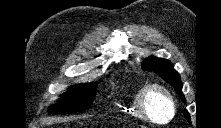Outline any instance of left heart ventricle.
<instances>
[{
    "instance_id": "b2bd125f",
    "label": "left heart ventricle",
    "mask_w": 221,
    "mask_h": 128,
    "mask_svg": "<svg viewBox=\"0 0 221 128\" xmlns=\"http://www.w3.org/2000/svg\"><path fill=\"white\" fill-rule=\"evenodd\" d=\"M151 111L157 121H165L170 113L167 103L162 98H155L151 102Z\"/></svg>"
}]
</instances>
